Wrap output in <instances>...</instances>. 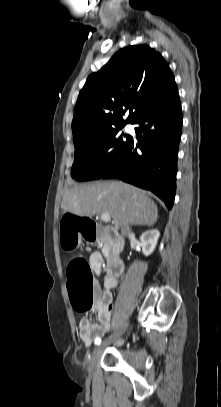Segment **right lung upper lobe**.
<instances>
[{
    "mask_svg": "<svg viewBox=\"0 0 221 407\" xmlns=\"http://www.w3.org/2000/svg\"><path fill=\"white\" fill-rule=\"evenodd\" d=\"M175 87L168 64L148 45L119 50L87 78L79 93L72 121L74 144L126 123L133 124Z\"/></svg>",
    "mask_w": 221,
    "mask_h": 407,
    "instance_id": "obj_1",
    "label": "right lung upper lobe"
}]
</instances>
